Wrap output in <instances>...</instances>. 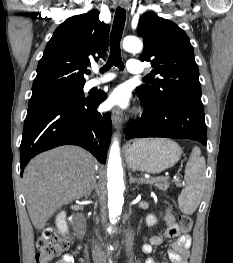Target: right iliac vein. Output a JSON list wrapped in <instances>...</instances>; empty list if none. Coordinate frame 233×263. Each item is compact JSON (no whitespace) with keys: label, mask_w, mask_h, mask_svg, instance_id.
<instances>
[{"label":"right iliac vein","mask_w":233,"mask_h":263,"mask_svg":"<svg viewBox=\"0 0 233 263\" xmlns=\"http://www.w3.org/2000/svg\"><path fill=\"white\" fill-rule=\"evenodd\" d=\"M94 263H102V262H98V261H96V262H94Z\"/></svg>","instance_id":"obj_1"}]
</instances>
